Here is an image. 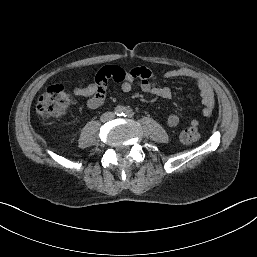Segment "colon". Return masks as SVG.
<instances>
[{
	"label": "colon",
	"mask_w": 257,
	"mask_h": 257,
	"mask_svg": "<svg viewBox=\"0 0 257 257\" xmlns=\"http://www.w3.org/2000/svg\"><path fill=\"white\" fill-rule=\"evenodd\" d=\"M100 88H105L108 83L107 77L97 75L95 78ZM72 102L71 94L63 84H54L47 88L41 95L36 105V112L42 118H55L65 114ZM196 127L183 129L179 134V141L182 144H192L198 139Z\"/></svg>",
	"instance_id": "1"
}]
</instances>
